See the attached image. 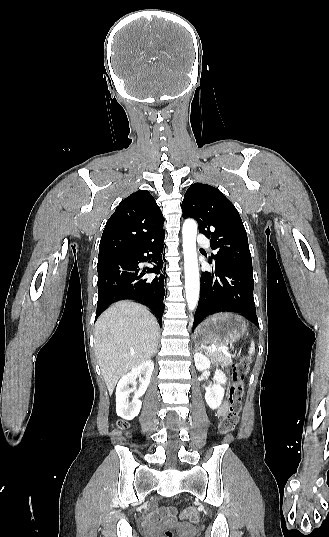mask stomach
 Segmentation results:
<instances>
[{
    "instance_id": "obj_1",
    "label": "stomach",
    "mask_w": 329,
    "mask_h": 537,
    "mask_svg": "<svg viewBox=\"0 0 329 537\" xmlns=\"http://www.w3.org/2000/svg\"><path fill=\"white\" fill-rule=\"evenodd\" d=\"M247 332L245 320L237 314L217 313L203 321L195 330L196 342L221 344L234 342Z\"/></svg>"
}]
</instances>
